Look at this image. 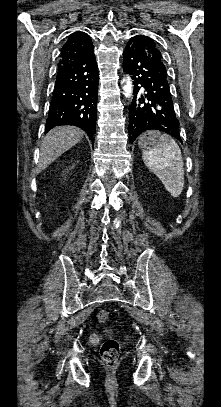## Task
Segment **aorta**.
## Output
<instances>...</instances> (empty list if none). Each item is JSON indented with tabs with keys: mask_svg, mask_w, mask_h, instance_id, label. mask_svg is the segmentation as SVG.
<instances>
[{
	"mask_svg": "<svg viewBox=\"0 0 221 407\" xmlns=\"http://www.w3.org/2000/svg\"><path fill=\"white\" fill-rule=\"evenodd\" d=\"M123 82H125V85L123 86L124 94L126 97H130L133 90L132 82L129 77L124 78Z\"/></svg>",
	"mask_w": 221,
	"mask_h": 407,
	"instance_id": "762f6f07",
	"label": "aorta"
}]
</instances>
